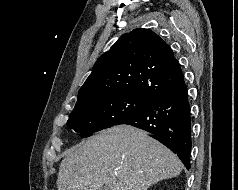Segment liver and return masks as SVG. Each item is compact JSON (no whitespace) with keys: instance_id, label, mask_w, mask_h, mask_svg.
<instances>
[{"instance_id":"obj_1","label":"liver","mask_w":238,"mask_h":190,"mask_svg":"<svg viewBox=\"0 0 238 190\" xmlns=\"http://www.w3.org/2000/svg\"><path fill=\"white\" fill-rule=\"evenodd\" d=\"M179 158L157 140L130 125H118L91 136L65 154L58 190H147L177 177Z\"/></svg>"}]
</instances>
